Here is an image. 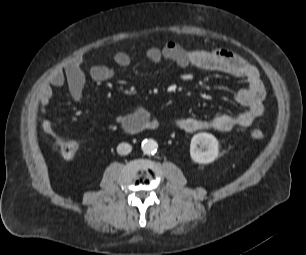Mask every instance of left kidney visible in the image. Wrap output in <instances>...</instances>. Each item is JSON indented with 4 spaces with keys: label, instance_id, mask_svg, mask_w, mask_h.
<instances>
[{
    "label": "left kidney",
    "instance_id": "1",
    "mask_svg": "<svg viewBox=\"0 0 306 255\" xmlns=\"http://www.w3.org/2000/svg\"><path fill=\"white\" fill-rule=\"evenodd\" d=\"M205 149V150H203ZM219 153V142L210 133L195 134L191 139L190 155L193 161L200 164L213 162Z\"/></svg>",
    "mask_w": 306,
    "mask_h": 255
}]
</instances>
